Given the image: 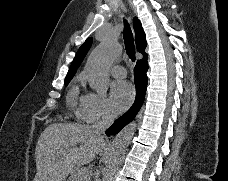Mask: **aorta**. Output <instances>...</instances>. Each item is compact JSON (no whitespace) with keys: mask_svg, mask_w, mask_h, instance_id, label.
<instances>
[{"mask_svg":"<svg viewBox=\"0 0 228 181\" xmlns=\"http://www.w3.org/2000/svg\"><path fill=\"white\" fill-rule=\"evenodd\" d=\"M122 47L111 36L105 37L88 57L85 72L90 86L98 94H106L109 87V68L121 54ZM137 124L132 122L123 128L113 141L102 181H111L115 170L122 162Z\"/></svg>","mask_w":228,"mask_h":181,"instance_id":"1","label":"aorta"}]
</instances>
